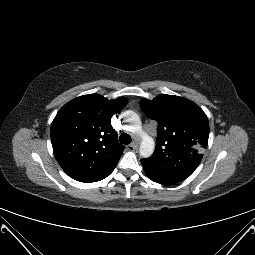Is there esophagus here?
Segmentation results:
<instances>
[{"mask_svg": "<svg viewBox=\"0 0 255 255\" xmlns=\"http://www.w3.org/2000/svg\"><path fill=\"white\" fill-rule=\"evenodd\" d=\"M129 151H132V152H135L137 151L138 149V144L136 142L130 144V145H127L126 147Z\"/></svg>", "mask_w": 255, "mask_h": 255, "instance_id": "34e87169", "label": "esophagus"}]
</instances>
